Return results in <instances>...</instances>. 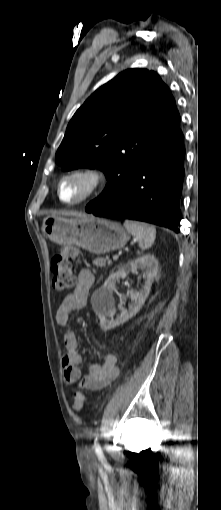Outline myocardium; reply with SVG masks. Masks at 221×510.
Wrapping results in <instances>:
<instances>
[{
    "label": "myocardium",
    "mask_w": 221,
    "mask_h": 510,
    "mask_svg": "<svg viewBox=\"0 0 221 510\" xmlns=\"http://www.w3.org/2000/svg\"><path fill=\"white\" fill-rule=\"evenodd\" d=\"M74 178H80L85 181L87 188L85 193L74 201H65L62 198L63 185ZM105 184V176L103 171L92 165L76 167L68 171L59 181L58 184V197L61 203L69 206H76L83 204L92 198L96 197Z\"/></svg>",
    "instance_id": "obj_1"
}]
</instances>
